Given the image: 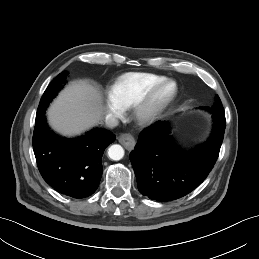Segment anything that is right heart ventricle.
Instances as JSON below:
<instances>
[{
    "label": "right heart ventricle",
    "instance_id": "obj_1",
    "mask_svg": "<svg viewBox=\"0 0 259 259\" xmlns=\"http://www.w3.org/2000/svg\"><path fill=\"white\" fill-rule=\"evenodd\" d=\"M165 79L164 76L152 73H126L109 87L108 95L112 103L124 111L147 89Z\"/></svg>",
    "mask_w": 259,
    "mask_h": 259
}]
</instances>
